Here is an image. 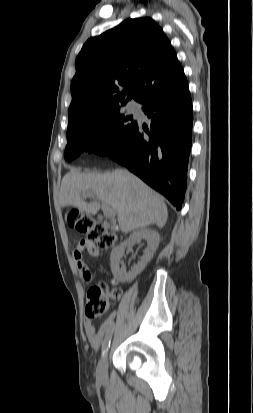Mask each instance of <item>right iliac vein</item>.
I'll list each match as a JSON object with an SVG mask.
<instances>
[{"label":"right iliac vein","mask_w":253,"mask_h":413,"mask_svg":"<svg viewBox=\"0 0 253 413\" xmlns=\"http://www.w3.org/2000/svg\"><path fill=\"white\" fill-rule=\"evenodd\" d=\"M107 366H108L107 356H104L99 361L97 369H96V375L99 381H105L107 379Z\"/></svg>","instance_id":"1"}]
</instances>
